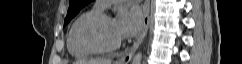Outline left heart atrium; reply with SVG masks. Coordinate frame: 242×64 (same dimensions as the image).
Here are the masks:
<instances>
[{"instance_id":"left-heart-atrium-1","label":"left heart atrium","mask_w":242,"mask_h":64,"mask_svg":"<svg viewBox=\"0 0 242 64\" xmlns=\"http://www.w3.org/2000/svg\"><path fill=\"white\" fill-rule=\"evenodd\" d=\"M115 33L119 39L130 38L142 28V15L137 9H122L114 20Z\"/></svg>"}]
</instances>
